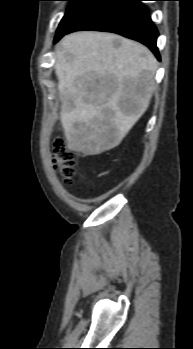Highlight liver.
I'll return each mask as SVG.
<instances>
[{
	"instance_id": "liver-1",
	"label": "liver",
	"mask_w": 193,
	"mask_h": 349,
	"mask_svg": "<svg viewBox=\"0 0 193 349\" xmlns=\"http://www.w3.org/2000/svg\"><path fill=\"white\" fill-rule=\"evenodd\" d=\"M156 70L155 56L136 41L94 31L66 35L56 48L55 73L69 149L98 155L118 146L147 110ZM121 100L135 108L125 112Z\"/></svg>"
}]
</instances>
